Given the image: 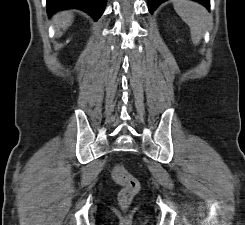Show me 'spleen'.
Returning <instances> with one entry per match:
<instances>
[{
	"label": "spleen",
	"mask_w": 245,
	"mask_h": 225,
	"mask_svg": "<svg viewBox=\"0 0 245 225\" xmlns=\"http://www.w3.org/2000/svg\"><path fill=\"white\" fill-rule=\"evenodd\" d=\"M173 6L176 13L190 27L193 43L195 45L199 44L210 22L207 10L200 4L189 0H174Z\"/></svg>",
	"instance_id": "1"
}]
</instances>
